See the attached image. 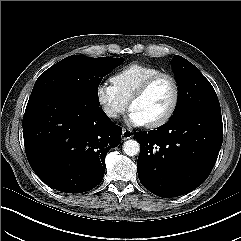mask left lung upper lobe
I'll use <instances>...</instances> for the list:
<instances>
[{"instance_id":"5c2ea615","label":"left lung upper lobe","mask_w":241,"mask_h":241,"mask_svg":"<svg viewBox=\"0 0 241 241\" xmlns=\"http://www.w3.org/2000/svg\"><path fill=\"white\" fill-rule=\"evenodd\" d=\"M171 65L178 83V101L171 118L193 109L220 110L214 88L197 67L178 55L173 57Z\"/></svg>"}]
</instances>
